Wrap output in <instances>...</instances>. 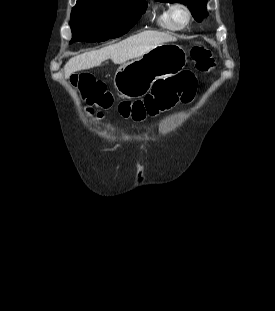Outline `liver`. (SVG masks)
<instances>
[{
    "mask_svg": "<svg viewBox=\"0 0 275 311\" xmlns=\"http://www.w3.org/2000/svg\"><path fill=\"white\" fill-rule=\"evenodd\" d=\"M174 40V37L166 33L143 31L119 43L72 57L64 66L65 77L68 78L77 71L99 66L107 59H111L115 64L125 63L144 55L159 45Z\"/></svg>",
    "mask_w": 275,
    "mask_h": 311,
    "instance_id": "obj_1",
    "label": "liver"
}]
</instances>
